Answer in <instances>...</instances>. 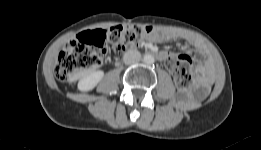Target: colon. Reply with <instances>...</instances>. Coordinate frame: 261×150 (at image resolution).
Returning a JSON list of instances; mask_svg holds the SVG:
<instances>
[{
  "mask_svg": "<svg viewBox=\"0 0 261 150\" xmlns=\"http://www.w3.org/2000/svg\"><path fill=\"white\" fill-rule=\"evenodd\" d=\"M152 31L143 26H114L107 30L86 31L72 40L59 54L54 71L60 81H70L78 73L101 65L111 45L115 54L136 47ZM167 68L179 86H187L191 80V59L182 54L167 61Z\"/></svg>",
  "mask_w": 261,
  "mask_h": 150,
  "instance_id": "1",
  "label": "colon"
}]
</instances>
